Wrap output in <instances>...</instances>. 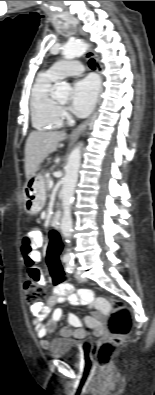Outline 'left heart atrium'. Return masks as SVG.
<instances>
[{"mask_svg": "<svg viewBox=\"0 0 155 395\" xmlns=\"http://www.w3.org/2000/svg\"><path fill=\"white\" fill-rule=\"evenodd\" d=\"M98 88V82L92 76L82 78L74 84L70 108L75 115L85 117L90 113L96 101Z\"/></svg>", "mask_w": 155, "mask_h": 395, "instance_id": "1", "label": "left heart atrium"}]
</instances>
